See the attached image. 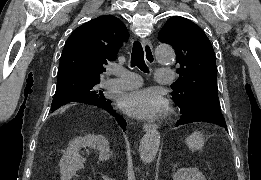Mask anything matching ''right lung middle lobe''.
<instances>
[{
    "mask_svg": "<svg viewBox=\"0 0 261 180\" xmlns=\"http://www.w3.org/2000/svg\"><path fill=\"white\" fill-rule=\"evenodd\" d=\"M100 80H69L57 83L51 109L55 111L68 102L106 99L99 89Z\"/></svg>",
    "mask_w": 261,
    "mask_h": 180,
    "instance_id": "obj_1",
    "label": "right lung middle lobe"
}]
</instances>
